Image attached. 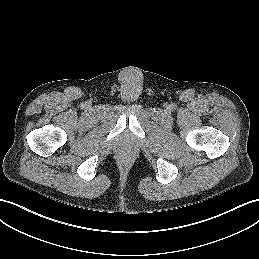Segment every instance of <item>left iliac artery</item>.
Listing matches in <instances>:
<instances>
[{
  "label": "left iliac artery",
  "instance_id": "44dca946",
  "mask_svg": "<svg viewBox=\"0 0 259 259\" xmlns=\"http://www.w3.org/2000/svg\"><path fill=\"white\" fill-rule=\"evenodd\" d=\"M176 107V105L175 104H172V108L174 109Z\"/></svg>",
  "mask_w": 259,
  "mask_h": 259
}]
</instances>
